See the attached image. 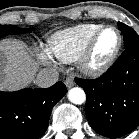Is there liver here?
<instances>
[{
  "label": "liver",
  "mask_w": 139,
  "mask_h": 139,
  "mask_svg": "<svg viewBox=\"0 0 139 139\" xmlns=\"http://www.w3.org/2000/svg\"><path fill=\"white\" fill-rule=\"evenodd\" d=\"M37 63L18 40L0 41V90H18L34 78Z\"/></svg>",
  "instance_id": "liver-1"
}]
</instances>
